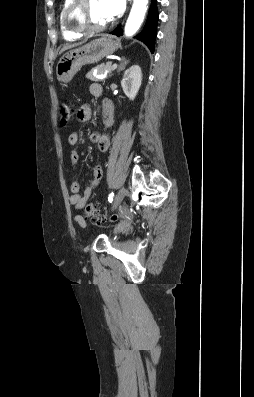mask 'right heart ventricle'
<instances>
[{"mask_svg": "<svg viewBox=\"0 0 254 397\" xmlns=\"http://www.w3.org/2000/svg\"><path fill=\"white\" fill-rule=\"evenodd\" d=\"M71 2H72V0H64L62 7L60 9V13H59L60 32H61L62 37L67 41H74L82 36L81 33H76V32L70 31L64 23V13L66 11V8L68 7V5Z\"/></svg>", "mask_w": 254, "mask_h": 397, "instance_id": "right-heart-ventricle-1", "label": "right heart ventricle"}]
</instances>
